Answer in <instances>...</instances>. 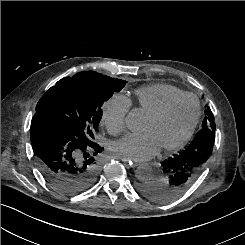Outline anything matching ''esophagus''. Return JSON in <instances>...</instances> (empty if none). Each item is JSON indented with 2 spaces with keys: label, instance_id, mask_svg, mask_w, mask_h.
Instances as JSON below:
<instances>
[{
  "label": "esophagus",
  "instance_id": "obj_1",
  "mask_svg": "<svg viewBox=\"0 0 245 245\" xmlns=\"http://www.w3.org/2000/svg\"><path fill=\"white\" fill-rule=\"evenodd\" d=\"M121 160L127 164L128 167L130 168H135L137 166H139V163L134 161V160H130V159H125V158H121Z\"/></svg>",
  "mask_w": 245,
  "mask_h": 245
}]
</instances>
